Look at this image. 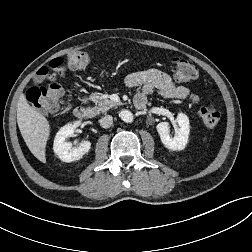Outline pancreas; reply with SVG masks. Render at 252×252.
<instances>
[{"mask_svg":"<svg viewBox=\"0 0 252 252\" xmlns=\"http://www.w3.org/2000/svg\"><path fill=\"white\" fill-rule=\"evenodd\" d=\"M95 102L96 106L93 109L95 115L106 113L109 109L117 105V103L102 97L96 98Z\"/></svg>","mask_w":252,"mask_h":252,"instance_id":"1","label":"pancreas"}]
</instances>
